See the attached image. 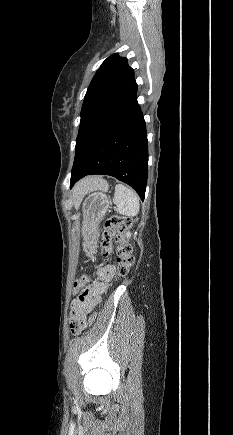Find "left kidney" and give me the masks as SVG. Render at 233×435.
Wrapping results in <instances>:
<instances>
[{"label": "left kidney", "mask_w": 233, "mask_h": 435, "mask_svg": "<svg viewBox=\"0 0 233 435\" xmlns=\"http://www.w3.org/2000/svg\"><path fill=\"white\" fill-rule=\"evenodd\" d=\"M130 236H131V233H130V232H128V233H127V237H130Z\"/></svg>", "instance_id": "obj_1"}]
</instances>
